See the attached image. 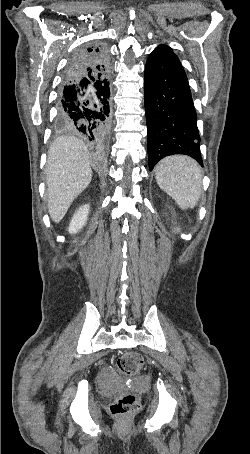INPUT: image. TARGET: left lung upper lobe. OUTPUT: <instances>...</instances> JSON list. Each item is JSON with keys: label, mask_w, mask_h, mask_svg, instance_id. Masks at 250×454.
Returning <instances> with one entry per match:
<instances>
[{"label": "left lung upper lobe", "mask_w": 250, "mask_h": 454, "mask_svg": "<svg viewBox=\"0 0 250 454\" xmlns=\"http://www.w3.org/2000/svg\"><path fill=\"white\" fill-rule=\"evenodd\" d=\"M154 51H157V52H161L163 54H166V55H170V56H173V57H176L178 58L172 51V49L167 46V45H159L157 48H155Z\"/></svg>", "instance_id": "5c2ea615"}]
</instances>
